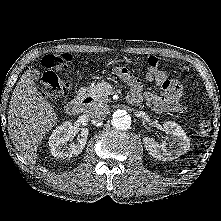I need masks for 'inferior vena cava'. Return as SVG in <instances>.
<instances>
[{
    "label": "inferior vena cava",
    "mask_w": 221,
    "mask_h": 221,
    "mask_svg": "<svg viewBox=\"0 0 221 221\" xmlns=\"http://www.w3.org/2000/svg\"><path fill=\"white\" fill-rule=\"evenodd\" d=\"M108 110V105L99 103L92 105L87 113L93 120L101 121L106 117Z\"/></svg>",
    "instance_id": "inferior-vena-cava-1"
}]
</instances>
